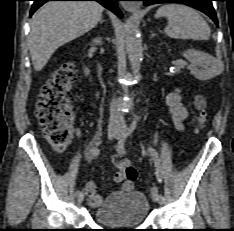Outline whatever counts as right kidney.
I'll return each instance as SVG.
<instances>
[{
    "instance_id": "1",
    "label": "right kidney",
    "mask_w": 234,
    "mask_h": 231,
    "mask_svg": "<svg viewBox=\"0 0 234 231\" xmlns=\"http://www.w3.org/2000/svg\"><path fill=\"white\" fill-rule=\"evenodd\" d=\"M93 44L95 45H101L102 44V39L101 38H96L93 40Z\"/></svg>"
}]
</instances>
